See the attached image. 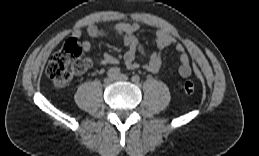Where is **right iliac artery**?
<instances>
[{"mask_svg": "<svg viewBox=\"0 0 259 156\" xmlns=\"http://www.w3.org/2000/svg\"><path fill=\"white\" fill-rule=\"evenodd\" d=\"M120 74V69L117 67L110 68L107 72L108 77L115 78Z\"/></svg>", "mask_w": 259, "mask_h": 156, "instance_id": "1", "label": "right iliac artery"}]
</instances>
